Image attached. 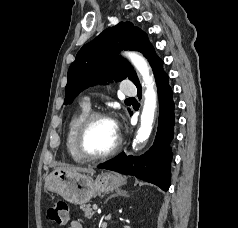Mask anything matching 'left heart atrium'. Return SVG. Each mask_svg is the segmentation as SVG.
Returning <instances> with one entry per match:
<instances>
[{"mask_svg":"<svg viewBox=\"0 0 238 228\" xmlns=\"http://www.w3.org/2000/svg\"><path fill=\"white\" fill-rule=\"evenodd\" d=\"M112 124H113V127H114V130L116 131V133L118 134V130H119V127H118V123L115 119H110Z\"/></svg>","mask_w":238,"mask_h":228,"instance_id":"left-heart-atrium-1","label":"left heart atrium"}]
</instances>
